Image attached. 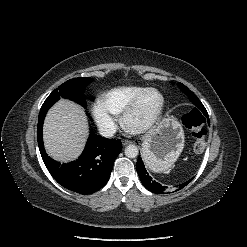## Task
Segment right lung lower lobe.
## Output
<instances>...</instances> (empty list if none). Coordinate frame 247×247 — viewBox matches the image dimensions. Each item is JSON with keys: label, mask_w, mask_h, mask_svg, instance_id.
<instances>
[{"label": "right lung lower lobe", "mask_w": 247, "mask_h": 247, "mask_svg": "<svg viewBox=\"0 0 247 247\" xmlns=\"http://www.w3.org/2000/svg\"><path fill=\"white\" fill-rule=\"evenodd\" d=\"M56 101L46 99L38 117L37 140L42 159L50 174L63 187L84 195L96 192L109 180L114 161L122 150L121 140L91 133L76 161L60 164L51 159L44 149L42 130L46 113Z\"/></svg>", "instance_id": "1"}]
</instances>
